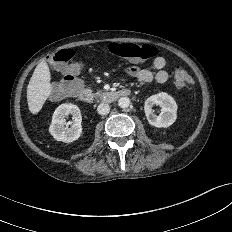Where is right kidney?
Segmentation results:
<instances>
[{
  "instance_id": "right-kidney-1",
  "label": "right kidney",
  "mask_w": 232,
  "mask_h": 232,
  "mask_svg": "<svg viewBox=\"0 0 232 232\" xmlns=\"http://www.w3.org/2000/svg\"><path fill=\"white\" fill-rule=\"evenodd\" d=\"M70 114L73 115V124L71 127H67L65 126V118ZM81 122V112L76 105L71 103L61 104L52 116L49 132L57 141L70 143L80 137L82 133Z\"/></svg>"
}]
</instances>
